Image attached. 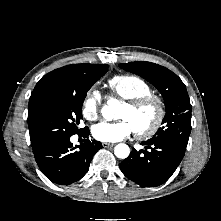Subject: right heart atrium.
Returning <instances> with one entry per match:
<instances>
[{"label":"right heart atrium","mask_w":221,"mask_h":221,"mask_svg":"<svg viewBox=\"0 0 221 221\" xmlns=\"http://www.w3.org/2000/svg\"><path fill=\"white\" fill-rule=\"evenodd\" d=\"M102 105V95L97 89H91L85 95L82 101L81 112L88 121H94L98 118Z\"/></svg>","instance_id":"right-heart-atrium-1"}]
</instances>
